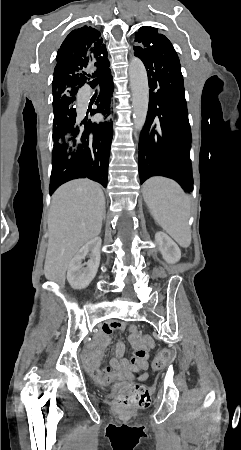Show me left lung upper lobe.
Masks as SVG:
<instances>
[{
  "instance_id": "left-lung-upper-lobe-1",
  "label": "left lung upper lobe",
  "mask_w": 241,
  "mask_h": 450,
  "mask_svg": "<svg viewBox=\"0 0 241 450\" xmlns=\"http://www.w3.org/2000/svg\"><path fill=\"white\" fill-rule=\"evenodd\" d=\"M134 46L135 52L146 55L156 56L160 54L169 44V40L162 34L158 33L156 28L143 26L136 33Z\"/></svg>"
}]
</instances>
